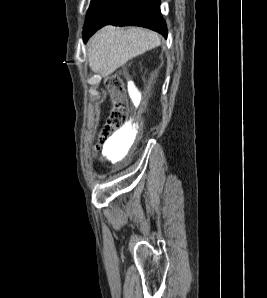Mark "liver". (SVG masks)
Returning a JSON list of instances; mask_svg holds the SVG:
<instances>
[{
	"label": "liver",
	"mask_w": 267,
	"mask_h": 298,
	"mask_svg": "<svg viewBox=\"0 0 267 298\" xmlns=\"http://www.w3.org/2000/svg\"><path fill=\"white\" fill-rule=\"evenodd\" d=\"M160 45L159 35L139 27L117 29L105 26L90 39L87 47L91 70L108 77L134 57Z\"/></svg>",
	"instance_id": "liver-1"
}]
</instances>
